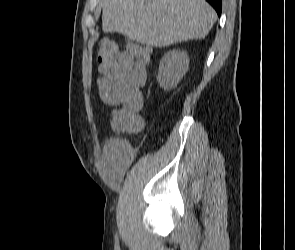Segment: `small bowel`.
<instances>
[{"label": "small bowel", "instance_id": "1", "mask_svg": "<svg viewBox=\"0 0 295 250\" xmlns=\"http://www.w3.org/2000/svg\"><path fill=\"white\" fill-rule=\"evenodd\" d=\"M149 61L148 50L135 54L123 52L114 69L97 80L101 100L110 106L127 104L141 109ZM124 151L125 144L118 139L108 141L104 147L103 157L114 177L121 176L124 171Z\"/></svg>", "mask_w": 295, "mask_h": 250}]
</instances>
